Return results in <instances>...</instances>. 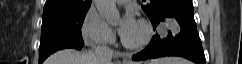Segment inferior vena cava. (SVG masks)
Listing matches in <instances>:
<instances>
[{
	"mask_svg": "<svg viewBox=\"0 0 242 64\" xmlns=\"http://www.w3.org/2000/svg\"><path fill=\"white\" fill-rule=\"evenodd\" d=\"M113 51L107 45H98L95 48V56L99 64H111Z\"/></svg>",
	"mask_w": 242,
	"mask_h": 64,
	"instance_id": "602c4592",
	"label": "inferior vena cava"
}]
</instances>
